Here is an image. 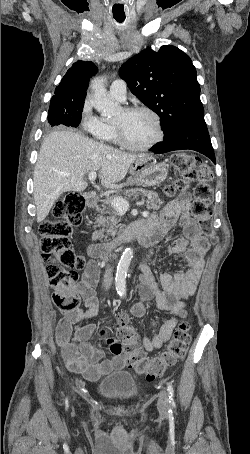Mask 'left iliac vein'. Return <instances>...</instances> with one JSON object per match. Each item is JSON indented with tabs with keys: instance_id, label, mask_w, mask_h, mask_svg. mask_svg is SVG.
Instances as JSON below:
<instances>
[{
	"instance_id": "obj_1",
	"label": "left iliac vein",
	"mask_w": 250,
	"mask_h": 454,
	"mask_svg": "<svg viewBox=\"0 0 250 454\" xmlns=\"http://www.w3.org/2000/svg\"><path fill=\"white\" fill-rule=\"evenodd\" d=\"M158 409L162 414H166L168 411V397L165 390H162L159 394Z\"/></svg>"
}]
</instances>
